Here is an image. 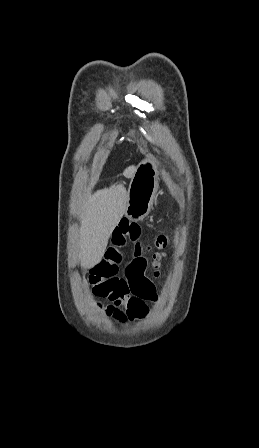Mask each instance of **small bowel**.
<instances>
[{"mask_svg":"<svg viewBox=\"0 0 259 448\" xmlns=\"http://www.w3.org/2000/svg\"><path fill=\"white\" fill-rule=\"evenodd\" d=\"M141 230L138 224L123 219L113 229L112 244L103 258L91 269L85 278L93 292L110 300L107 306L97 305L107 317L125 324L146 318L147 303L156 302L157 294L153 283L145 276L146 260L139 242ZM130 241L134 244L132 258L125 263L123 275H119L123 254L121 248Z\"/></svg>","mask_w":259,"mask_h":448,"instance_id":"obj_1","label":"small bowel"}]
</instances>
